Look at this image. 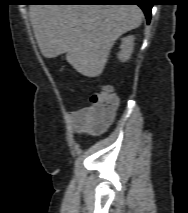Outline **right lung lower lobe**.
Returning a JSON list of instances; mask_svg holds the SVG:
<instances>
[{
  "mask_svg": "<svg viewBox=\"0 0 188 213\" xmlns=\"http://www.w3.org/2000/svg\"><path fill=\"white\" fill-rule=\"evenodd\" d=\"M50 1V2H49ZM56 1V2H51ZM58 1V2H57ZM43 3H70V4H137L145 13L147 22L151 18L153 3L151 0H45Z\"/></svg>",
  "mask_w": 188,
  "mask_h": 213,
  "instance_id": "right-lung-lower-lobe-1",
  "label": "right lung lower lobe"
}]
</instances>
